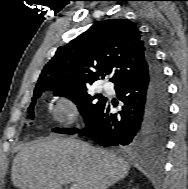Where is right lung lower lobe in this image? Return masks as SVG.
Instances as JSON below:
<instances>
[{
	"instance_id": "1",
	"label": "right lung lower lobe",
	"mask_w": 188,
	"mask_h": 189,
	"mask_svg": "<svg viewBox=\"0 0 188 189\" xmlns=\"http://www.w3.org/2000/svg\"><path fill=\"white\" fill-rule=\"evenodd\" d=\"M118 98L124 104L112 114L113 102L104 103L78 131L102 146H129L163 150L169 126V94L162 68L154 54H148L146 73L116 85Z\"/></svg>"
}]
</instances>
